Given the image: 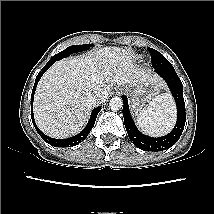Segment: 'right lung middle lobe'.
<instances>
[{
    "label": "right lung middle lobe",
    "mask_w": 214,
    "mask_h": 214,
    "mask_svg": "<svg viewBox=\"0 0 214 214\" xmlns=\"http://www.w3.org/2000/svg\"><path fill=\"white\" fill-rule=\"evenodd\" d=\"M91 46H92V44L91 45L85 44V45L70 46V47L66 48L65 50L61 51L60 53L54 55L50 60H53V61L61 60L65 57L69 56L72 53L88 50V49H90Z\"/></svg>",
    "instance_id": "obj_1"
}]
</instances>
